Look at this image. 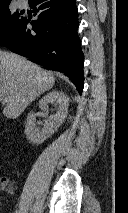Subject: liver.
<instances>
[{"instance_id": "obj_1", "label": "liver", "mask_w": 128, "mask_h": 213, "mask_svg": "<svg viewBox=\"0 0 128 213\" xmlns=\"http://www.w3.org/2000/svg\"><path fill=\"white\" fill-rule=\"evenodd\" d=\"M54 83L51 72L20 55L0 50V98L7 103L3 109L5 117L17 118Z\"/></svg>"}]
</instances>
